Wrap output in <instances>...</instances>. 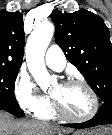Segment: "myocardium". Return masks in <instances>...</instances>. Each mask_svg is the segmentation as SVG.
Here are the masks:
<instances>
[{
	"label": "myocardium",
	"mask_w": 112,
	"mask_h": 135,
	"mask_svg": "<svg viewBox=\"0 0 112 135\" xmlns=\"http://www.w3.org/2000/svg\"><path fill=\"white\" fill-rule=\"evenodd\" d=\"M63 84L64 85H80V86H83L87 90V92L90 96V100H91L90 111L84 116L72 115L70 113H67L59 105L58 101L53 96H51V105H52L53 111L58 116H60L61 118H64V119L72 121V122H87V121L91 120L92 118H94L96 116V114L98 113V110H99V100H98L96 92L91 87V85L88 82H86L85 80H82V79H69L66 82H64Z\"/></svg>",
	"instance_id": "obj_1"
}]
</instances>
